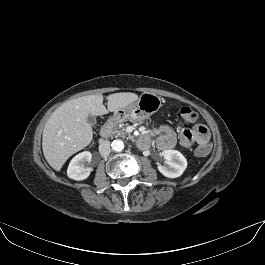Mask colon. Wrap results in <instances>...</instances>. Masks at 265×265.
Wrapping results in <instances>:
<instances>
[{
	"label": "colon",
	"mask_w": 265,
	"mask_h": 265,
	"mask_svg": "<svg viewBox=\"0 0 265 265\" xmlns=\"http://www.w3.org/2000/svg\"><path fill=\"white\" fill-rule=\"evenodd\" d=\"M179 115L180 118L183 122L185 123H192L196 120L197 115L195 113L194 110H192L191 108L185 106V107H181L179 109ZM210 150V146L205 144V145H200L197 149H196V154L198 156H204L206 155Z\"/></svg>",
	"instance_id": "colon-1"
}]
</instances>
